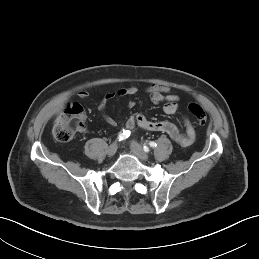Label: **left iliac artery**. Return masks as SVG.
<instances>
[{"label":"left iliac artery","instance_id":"obj_1","mask_svg":"<svg viewBox=\"0 0 259 259\" xmlns=\"http://www.w3.org/2000/svg\"><path fill=\"white\" fill-rule=\"evenodd\" d=\"M148 145H149L150 147H152V148H154V147L157 146V144H156L154 141H150V142L148 143ZM144 151H145V152H148V151H149V148H148L147 146H144Z\"/></svg>","mask_w":259,"mask_h":259}]
</instances>
